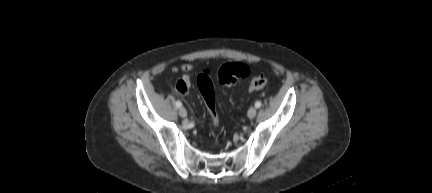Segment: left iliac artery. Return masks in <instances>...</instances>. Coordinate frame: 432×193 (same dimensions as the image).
Masks as SVG:
<instances>
[{
	"label": "left iliac artery",
	"instance_id": "left-iliac-artery-1",
	"mask_svg": "<svg viewBox=\"0 0 432 193\" xmlns=\"http://www.w3.org/2000/svg\"><path fill=\"white\" fill-rule=\"evenodd\" d=\"M255 107H256V108L261 107V102H260V101H257V102L255 103Z\"/></svg>",
	"mask_w": 432,
	"mask_h": 193
}]
</instances>
